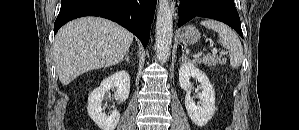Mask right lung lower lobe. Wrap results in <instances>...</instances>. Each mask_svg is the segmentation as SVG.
<instances>
[{
    "instance_id": "obj_1",
    "label": "right lung lower lobe",
    "mask_w": 299,
    "mask_h": 130,
    "mask_svg": "<svg viewBox=\"0 0 299 130\" xmlns=\"http://www.w3.org/2000/svg\"><path fill=\"white\" fill-rule=\"evenodd\" d=\"M156 3L157 0H61L54 32L75 18L100 16L131 31L146 47Z\"/></svg>"
}]
</instances>
